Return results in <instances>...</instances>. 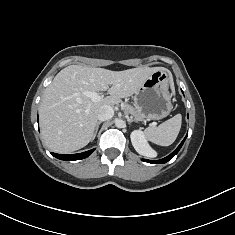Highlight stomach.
<instances>
[{
	"label": "stomach",
	"mask_w": 235,
	"mask_h": 235,
	"mask_svg": "<svg viewBox=\"0 0 235 235\" xmlns=\"http://www.w3.org/2000/svg\"><path fill=\"white\" fill-rule=\"evenodd\" d=\"M168 83L167 72L156 71L135 93L134 106L144 115V118L160 120L169 115L172 104Z\"/></svg>",
	"instance_id": "1"
}]
</instances>
